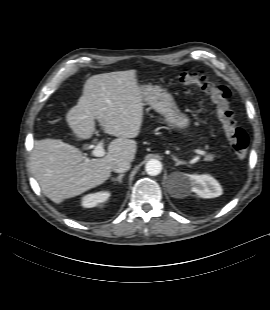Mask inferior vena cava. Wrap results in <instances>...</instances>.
<instances>
[{
	"instance_id": "602c4592",
	"label": "inferior vena cava",
	"mask_w": 270,
	"mask_h": 310,
	"mask_svg": "<svg viewBox=\"0 0 270 310\" xmlns=\"http://www.w3.org/2000/svg\"><path fill=\"white\" fill-rule=\"evenodd\" d=\"M131 163L128 160H117L113 165H112V170L116 173H123L126 172L130 169Z\"/></svg>"
}]
</instances>
